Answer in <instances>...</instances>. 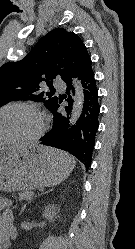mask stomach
<instances>
[{
	"label": "stomach",
	"mask_w": 135,
	"mask_h": 249,
	"mask_svg": "<svg viewBox=\"0 0 135 249\" xmlns=\"http://www.w3.org/2000/svg\"><path fill=\"white\" fill-rule=\"evenodd\" d=\"M74 168L57 151L41 146H0V190L18 191L53 186Z\"/></svg>",
	"instance_id": "1"
}]
</instances>
